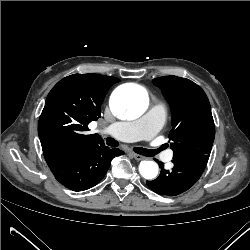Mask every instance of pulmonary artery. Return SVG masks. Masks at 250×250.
Masks as SVG:
<instances>
[{
	"label": "pulmonary artery",
	"instance_id": "e3ab8cb5",
	"mask_svg": "<svg viewBox=\"0 0 250 250\" xmlns=\"http://www.w3.org/2000/svg\"><path fill=\"white\" fill-rule=\"evenodd\" d=\"M165 121V110L162 105L152 107L147 115L137 122H115L108 127V131L126 141L144 140L157 132ZM173 152L167 151L165 161H171Z\"/></svg>",
	"mask_w": 250,
	"mask_h": 250
}]
</instances>
